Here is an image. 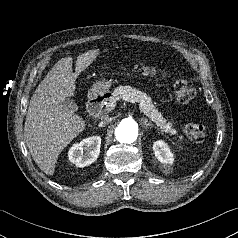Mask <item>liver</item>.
Returning a JSON list of instances; mask_svg holds the SVG:
<instances>
[{"instance_id": "6515ba94", "label": "liver", "mask_w": 238, "mask_h": 238, "mask_svg": "<svg viewBox=\"0 0 238 238\" xmlns=\"http://www.w3.org/2000/svg\"><path fill=\"white\" fill-rule=\"evenodd\" d=\"M99 49L77 57L72 73V57L59 60L38 85L26 115L24 137L38 167L53 175L59 154L85 129L83 118L62 102L74 96L76 79L97 57Z\"/></svg>"}]
</instances>
